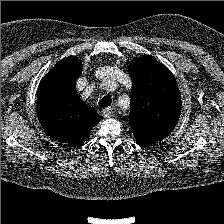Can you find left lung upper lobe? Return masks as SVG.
I'll use <instances>...</instances> for the list:
<instances>
[{"instance_id":"obj_1","label":"left lung upper lobe","mask_w":224,"mask_h":224,"mask_svg":"<svg viewBox=\"0 0 224 224\" xmlns=\"http://www.w3.org/2000/svg\"><path fill=\"white\" fill-rule=\"evenodd\" d=\"M133 82L130 127L155 143L167 137L181 113V95L173 74L150 56L130 64Z\"/></svg>"}]
</instances>
